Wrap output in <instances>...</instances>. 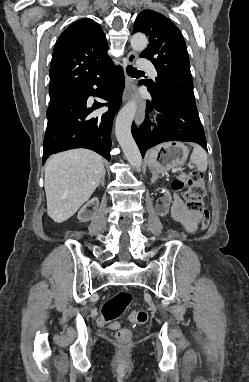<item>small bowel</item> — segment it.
Wrapping results in <instances>:
<instances>
[{"mask_svg": "<svg viewBox=\"0 0 249 382\" xmlns=\"http://www.w3.org/2000/svg\"><path fill=\"white\" fill-rule=\"evenodd\" d=\"M172 215L174 219L182 224L186 231L192 233L196 230L200 220V216L197 213L185 210L183 203L178 196L174 197L172 204Z\"/></svg>", "mask_w": 249, "mask_h": 382, "instance_id": "small-bowel-1", "label": "small bowel"}]
</instances>
